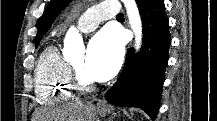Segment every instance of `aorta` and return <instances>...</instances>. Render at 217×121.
I'll use <instances>...</instances> for the list:
<instances>
[{"instance_id": "aorta-1", "label": "aorta", "mask_w": 217, "mask_h": 121, "mask_svg": "<svg viewBox=\"0 0 217 121\" xmlns=\"http://www.w3.org/2000/svg\"><path fill=\"white\" fill-rule=\"evenodd\" d=\"M125 5L131 29L135 34V49L139 50L142 43V22L135 0H122ZM84 53V44L78 31L71 27L64 39L63 54L65 58L79 57Z\"/></svg>"}]
</instances>
